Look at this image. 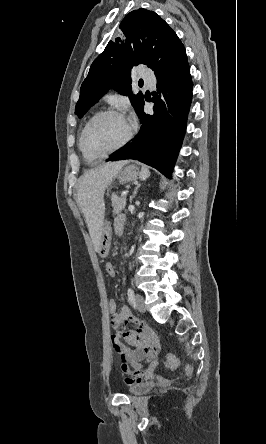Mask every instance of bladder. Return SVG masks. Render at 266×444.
I'll use <instances>...</instances> for the list:
<instances>
[{
  "label": "bladder",
  "mask_w": 266,
  "mask_h": 444,
  "mask_svg": "<svg viewBox=\"0 0 266 444\" xmlns=\"http://www.w3.org/2000/svg\"><path fill=\"white\" fill-rule=\"evenodd\" d=\"M154 388L152 383H141L130 387L129 393L134 396H140L149 393Z\"/></svg>",
  "instance_id": "31cf9c89"
}]
</instances>
